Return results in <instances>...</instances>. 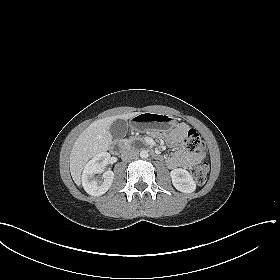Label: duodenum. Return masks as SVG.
<instances>
[{
    "mask_svg": "<svg viewBox=\"0 0 280 280\" xmlns=\"http://www.w3.org/2000/svg\"><path fill=\"white\" fill-rule=\"evenodd\" d=\"M126 149V145L124 142H118L114 144V150H119V151H124ZM153 158L160 160L161 159V154L153 152L152 153Z\"/></svg>",
    "mask_w": 280,
    "mask_h": 280,
    "instance_id": "410a0bca",
    "label": "duodenum"
}]
</instances>
